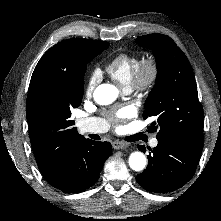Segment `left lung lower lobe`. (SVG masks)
<instances>
[{
  "instance_id": "obj_1",
  "label": "left lung lower lobe",
  "mask_w": 221,
  "mask_h": 221,
  "mask_svg": "<svg viewBox=\"0 0 221 221\" xmlns=\"http://www.w3.org/2000/svg\"><path fill=\"white\" fill-rule=\"evenodd\" d=\"M143 151L144 146H139ZM203 149V140L158 139L148 156L147 168L136 177L146 190L155 193L174 191L193 176Z\"/></svg>"
}]
</instances>
